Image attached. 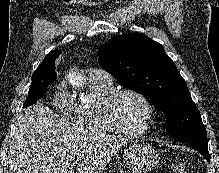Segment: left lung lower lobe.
I'll return each mask as SVG.
<instances>
[{
	"mask_svg": "<svg viewBox=\"0 0 219 173\" xmlns=\"http://www.w3.org/2000/svg\"><path fill=\"white\" fill-rule=\"evenodd\" d=\"M188 144L196 148L198 152H200L204 156V158L207 159V161H209L208 146L206 147L195 143H188Z\"/></svg>",
	"mask_w": 219,
	"mask_h": 173,
	"instance_id": "left-lung-lower-lobe-1",
	"label": "left lung lower lobe"
}]
</instances>
